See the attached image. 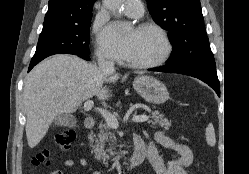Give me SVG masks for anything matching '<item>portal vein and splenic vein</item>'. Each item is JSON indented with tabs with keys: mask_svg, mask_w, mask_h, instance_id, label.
I'll list each match as a JSON object with an SVG mask.
<instances>
[{
	"mask_svg": "<svg viewBox=\"0 0 249 174\" xmlns=\"http://www.w3.org/2000/svg\"><path fill=\"white\" fill-rule=\"evenodd\" d=\"M94 106V102L92 100H87L84 103V110L85 111H90ZM96 111H98L102 117L105 119L108 127L112 128V129H117L119 126L118 120L115 117V115H113L112 113H110L109 111L102 109V108H96ZM149 119V117L147 115H137V116H133L132 120L134 122L140 123V122H145Z\"/></svg>",
	"mask_w": 249,
	"mask_h": 174,
	"instance_id": "portal-vein-and-splenic-vein-1",
	"label": "portal vein and splenic vein"
}]
</instances>
